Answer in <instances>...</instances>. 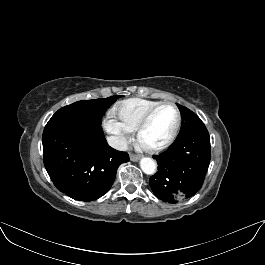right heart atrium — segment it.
Masks as SVG:
<instances>
[{"mask_svg":"<svg viewBox=\"0 0 265 265\" xmlns=\"http://www.w3.org/2000/svg\"><path fill=\"white\" fill-rule=\"evenodd\" d=\"M105 130L113 136L118 148H125L129 142L130 130L127 129L114 115L108 113L104 118Z\"/></svg>","mask_w":265,"mask_h":265,"instance_id":"obj_1","label":"right heart atrium"}]
</instances>
